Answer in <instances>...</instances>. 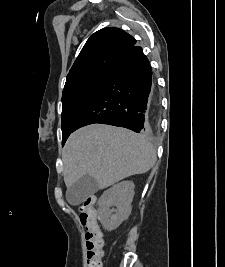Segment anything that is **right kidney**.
I'll use <instances>...</instances> for the list:
<instances>
[{
  "label": "right kidney",
  "instance_id": "ca27d5eb",
  "mask_svg": "<svg viewBox=\"0 0 225 267\" xmlns=\"http://www.w3.org/2000/svg\"><path fill=\"white\" fill-rule=\"evenodd\" d=\"M134 197L132 181H122L106 190L98 201V219L106 230L116 229L131 214ZM115 206L116 209H111Z\"/></svg>",
  "mask_w": 225,
  "mask_h": 267
}]
</instances>
